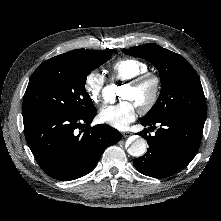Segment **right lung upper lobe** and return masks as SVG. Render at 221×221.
Returning a JSON list of instances; mask_svg holds the SVG:
<instances>
[{
  "instance_id": "1",
  "label": "right lung upper lobe",
  "mask_w": 221,
  "mask_h": 221,
  "mask_svg": "<svg viewBox=\"0 0 221 221\" xmlns=\"http://www.w3.org/2000/svg\"><path fill=\"white\" fill-rule=\"evenodd\" d=\"M89 52H91V50H81V49H78V50H73V51H70V52L58 55L56 57L64 58V59H73V58H78V57H81L83 55H86Z\"/></svg>"
}]
</instances>
